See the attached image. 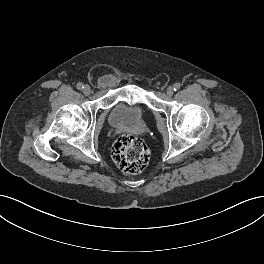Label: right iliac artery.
Here are the masks:
<instances>
[{
	"instance_id": "obj_1",
	"label": "right iliac artery",
	"mask_w": 264,
	"mask_h": 264,
	"mask_svg": "<svg viewBox=\"0 0 264 264\" xmlns=\"http://www.w3.org/2000/svg\"><path fill=\"white\" fill-rule=\"evenodd\" d=\"M76 87H77V89L81 90L84 88V85H83V83H78Z\"/></svg>"
}]
</instances>
